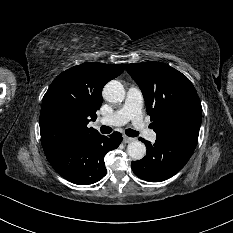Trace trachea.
I'll return each instance as SVG.
<instances>
[{
	"label": "trachea",
	"mask_w": 233,
	"mask_h": 233,
	"mask_svg": "<svg viewBox=\"0 0 233 233\" xmlns=\"http://www.w3.org/2000/svg\"><path fill=\"white\" fill-rule=\"evenodd\" d=\"M100 131H101V133H103V134H109V133L112 132V128L109 127V126L102 125V126L100 127ZM125 134H126L127 136H129V137H136V136L139 135V132H138V131H135V130H133V129H126V130H125Z\"/></svg>",
	"instance_id": "1"
}]
</instances>
